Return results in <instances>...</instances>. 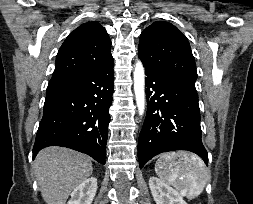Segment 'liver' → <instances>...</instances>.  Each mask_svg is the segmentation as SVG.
Here are the masks:
<instances>
[{
	"label": "liver",
	"instance_id": "liver-1",
	"mask_svg": "<svg viewBox=\"0 0 253 204\" xmlns=\"http://www.w3.org/2000/svg\"><path fill=\"white\" fill-rule=\"evenodd\" d=\"M33 170L47 204H65L71 192L93 171L88 156L74 150L51 146L41 150Z\"/></svg>",
	"mask_w": 253,
	"mask_h": 204
}]
</instances>
